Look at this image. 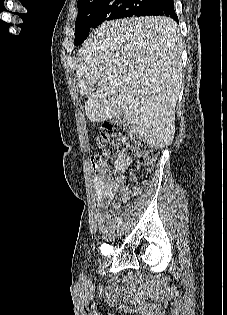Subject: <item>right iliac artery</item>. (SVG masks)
<instances>
[{
    "instance_id": "1",
    "label": "right iliac artery",
    "mask_w": 227,
    "mask_h": 315,
    "mask_svg": "<svg viewBox=\"0 0 227 315\" xmlns=\"http://www.w3.org/2000/svg\"><path fill=\"white\" fill-rule=\"evenodd\" d=\"M123 223L122 219L121 218H117L116 219V224L119 226Z\"/></svg>"
}]
</instances>
